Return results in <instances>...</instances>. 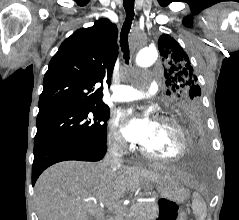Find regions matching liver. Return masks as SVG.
<instances>
[{
    "instance_id": "1",
    "label": "liver",
    "mask_w": 239,
    "mask_h": 220,
    "mask_svg": "<svg viewBox=\"0 0 239 220\" xmlns=\"http://www.w3.org/2000/svg\"><path fill=\"white\" fill-rule=\"evenodd\" d=\"M143 181L191 184L181 172L161 175L142 167L63 161L46 169L35 184L39 220H105L101 205L139 190Z\"/></svg>"
}]
</instances>
